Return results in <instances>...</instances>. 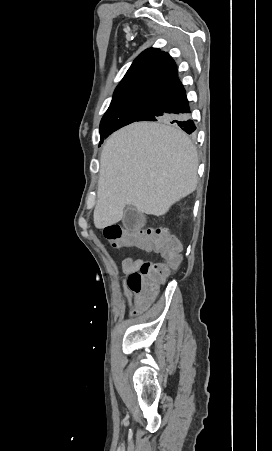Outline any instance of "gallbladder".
<instances>
[{"label": "gallbladder", "mask_w": 272, "mask_h": 451, "mask_svg": "<svg viewBox=\"0 0 272 451\" xmlns=\"http://www.w3.org/2000/svg\"><path fill=\"white\" fill-rule=\"evenodd\" d=\"M123 226L127 229H137V227H143L146 224V218L144 214L137 212L136 208L127 206L124 210V216L122 218Z\"/></svg>", "instance_id": "obj_1"}]
</instances>
